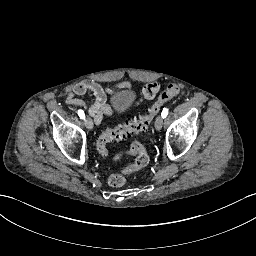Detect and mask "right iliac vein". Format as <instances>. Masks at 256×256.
<instances>
[{"mask_svg": "<svg viewBox=\"0 0 256 256\" xmlns=\"http://www.w3.org/2000/svg\"><path fill=\"white\" fill-rule=\"evenodd\" d=\"M84 124L88 130H91L93 128V121L90 117L84 119Z\"/></svg>", "mask_w": 256, "mask_h": 256, "instance_id": "63e3f726", "label": "right iliac vein"}]
</instances>
